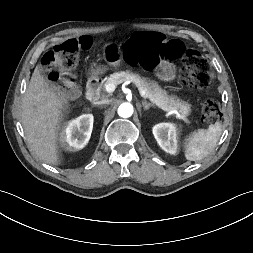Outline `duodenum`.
Returning a JSON list of instances; mask_svg holds the SVG:
<instances>
[{
  "label": "duodenum",
  "instance_id": "1",
  "mask_svg": "<svg viewBox=\"0 0 253 253\" xmlns=\"http://www.w3.org/2000/svg\"><path fill=\"white\" fill-rule=\"evenodd\" d=\"M100 80L97 77H92L87 83V91L85 99L89 102H94L99 98Z\"/></svg>",
  "mask_w": 253,
  "mask_h": 253
}]
</instances>
